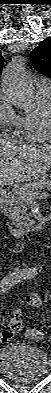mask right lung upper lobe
<instances>
[{"label":"right lung upper lobe","instance_id":"cb5924a9","mask_svg":"<svg viewBox=\"0 0 51 393\" xmlns=\"http://www.w3.org/2000/svg\"><path fill=\"white\" fill-rule=\"evenodd\" d=\"M3 64H4V58L1 56V53H0V73H1L2 68H3Z\"/></svg>","mask_w":51,"mask_h":393}]
</instances>
